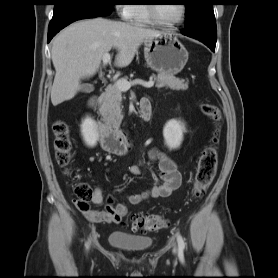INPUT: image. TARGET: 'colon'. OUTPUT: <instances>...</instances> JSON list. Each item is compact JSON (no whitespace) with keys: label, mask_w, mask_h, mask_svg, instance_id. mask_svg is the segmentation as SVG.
I'll list each match as a JSON object with an SVG mask.
<instances>
[{"label":"colon","mask_w":278,"mask_h":278,"mask_svg":"<svg viewBox=\"0 0 278 278\" xmlns=\"http://www.w3.org/2000/svg\"><path fill=\"white\" fill-rule=\"evenodd\" d=\"M201 111L215 123H219L221 120V112L213 104H203ZM53 131L55 134L54 148L56 160L59 165L65 167L71 163L73 157V144L70 137V130L64 121L58 120L53 125ZM217 164V137L214 135L199 157L191 191L193 198L200 199L203 197L215 177ZM74 193L76 195V202L79 204H88L93 196L90 186L86 183H78L74 188ZM167 224V220L157 214H137L132 218V227L134 230L156 231L165 228Z\"/></svg>","instance_id":"colon-1"}]
</instances>
